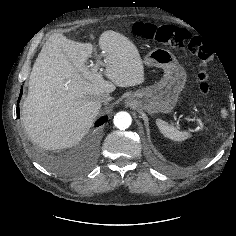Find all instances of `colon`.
Segmentation results:
<instances>
[{
  "mask_svg": "<svg viewBox=\"0 0 236 236\" xmlns=\"http://www.w3.org/2000/svg\"><path fill=\"white\" fill-rule=\"evenodd\" d=\"M136 35L175 48H187L200 59L198 73L199 90L207 94L211 90L209 64L213 58L210 47L199 37L189 31L172 25H157L147 22H136L133 25Z\"/></svg>",
  "mask_w": 236,
  "mask_h": 236,
  "instance_id": "colon-1",
  "label": "colon"
}]
</instances>
